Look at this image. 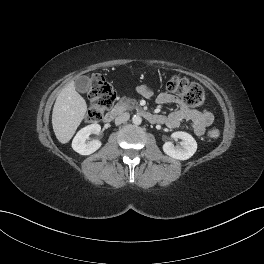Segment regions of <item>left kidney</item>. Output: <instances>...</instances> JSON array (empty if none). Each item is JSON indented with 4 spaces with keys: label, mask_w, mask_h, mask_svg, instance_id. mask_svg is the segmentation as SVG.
Instances as JSON below:
<instances>
[{
    "label": "left kidney",
    "mask_w": 264,
    "mask_h": 264,
    "mask_svg": "<svg viewBox=\"0 0 264 264\" xmlns=\"http://www.w3.org/2000/svg\"><path fill=\"white\" fill-rule=\"evenodd\" d=\"M172 138L181 139L183 145L176 147L170 141L165 142L163 145V151L165 154L177 160H187L194 155L197 150V143L190 134L178 131L172 134Z\"/></svg>",
    "instance_id": "obj_1"
}]
</instances>
